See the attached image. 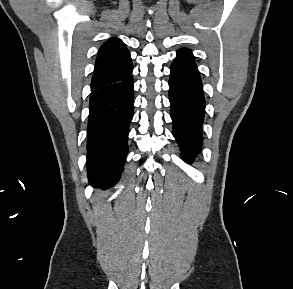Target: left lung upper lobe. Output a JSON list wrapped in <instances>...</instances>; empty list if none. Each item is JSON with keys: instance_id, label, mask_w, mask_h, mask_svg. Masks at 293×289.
<instances>
[{"instance_id": "1", "label": "left lung upper lobe", "mask_w": 293, "mask_h": 289, "mask_svg": "<svg viewBox=\"0 0 293 289\" xmlns=\"http://www.w3.org/2000/svg\"><path fill=\"white\" fill-rule=\"evenodd\" d=\"M179 51H189V50L186 49V48H183V49H181V50H179Z\"/></svg>"}]
</instances>
